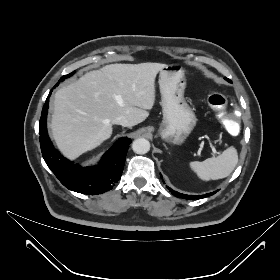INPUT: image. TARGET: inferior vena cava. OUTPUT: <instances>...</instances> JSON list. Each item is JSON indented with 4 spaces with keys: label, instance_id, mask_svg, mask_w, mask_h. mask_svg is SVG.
I'll return each instance as SVG.
<instances>
[{
    "label": "inferior vena cava",
    "instance_id": "obj_1",
    "mask_svg": "<svg viewBox=\"0 0 280 280\" xmlns=\"http://www.w3.org/2000/svg\"><path fill=\"white\" fill-rule=\"evenodd\" d=\"M113 124L122 125L124 127H129L130 123L125 116H119L113 120Z\"/></svg>",
    "mask_w": 280,
    "mask_h": 280
}]
</instances>
